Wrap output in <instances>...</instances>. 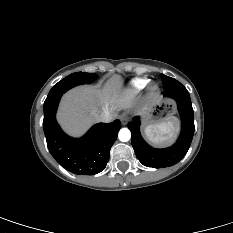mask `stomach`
I'll list each match as a JSON object with an SVG mask.
<instances>
[{"instance_id": "obj_1", "label": "stomach", "mask_w": 233, "mask_h": 233, "mask_svg": "<svg viewBox=\"0 0 233 233\" xmlns=\"http://www.w3.org/2000/svg\"><path fill=\"white\" fill-rule=\"evenodd\" d=\"M179 111L177 100L170 95L159 97L146 111L143 119L145 126L155 125L174 118Z\"/></svg>"}]
</instances>
